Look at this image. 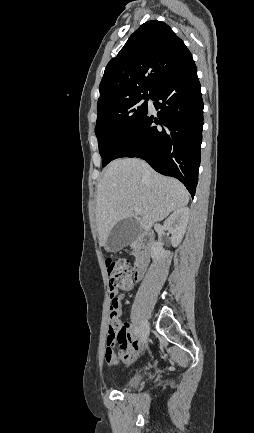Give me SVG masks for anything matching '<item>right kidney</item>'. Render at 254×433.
I'll use <instances>...</instances> for the list:
<instances>
[{
    "mask_svg": "<svg viewBox=\"0 0 254 433\" xmlns=\"http://www.w3.org/2000/svg\"><path fill=\"white\" fill-rule=\"evenodd\" d=\"M189 221V209L181 208L174 211L164 222V227L171 234V243L173 247H177L186 230ZM169 254L162 247V244L155 242L152 246L151 256L154 261H159Z\"/></svg>",
    "mask_w": 254,
    "mask_h": 433,
    "instance_id": "ca27d5eb",
    "label": "right kidney"
}]
</instances>
